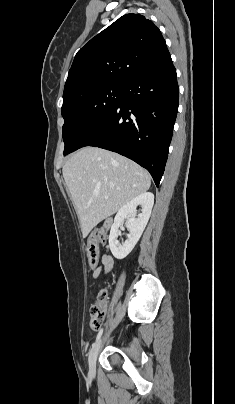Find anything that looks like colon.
Segmentation results:
<instances>
[{
	"instance_id": "5ec220e1",
	"label": "colon",
	"mask_w": 235,
	"mask_h": 404,
	"mask_svg": "<svg viewBox=\"0 0 235 404\" xmlns=\"http://www.w3.org/2000/svg\"><path fill=\"white\" fill-rule=\"evenodd\" d=\"M107 234L103 230H94L90 233L86 244V255L91 267H95L99 262V245L106 244ZM106 292H101L98 301L90 308V327L99 329L103 323L106 313Z\"/></svg>"
}]
</instances>
